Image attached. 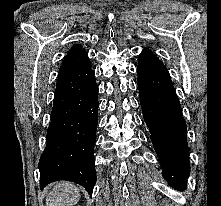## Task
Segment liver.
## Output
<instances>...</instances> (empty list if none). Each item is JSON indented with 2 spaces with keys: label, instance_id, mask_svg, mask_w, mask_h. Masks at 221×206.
<instances>
[{
  "label": "liver",
  "instance_id": "obj_1",
  "mask_svg": "<svg viewBox=\"0 0 221 206\" xmlns=\"http://www.w3.org/2000/svg\"><path fill=\"white\" fill-rule=\"evenodd\" d=\"M80 199L78 187L63 181L55 185L46 197V206H75Z\"/></svg>",
  "mask_w": 221,
  "mask_h": 206
}]
</instances>
